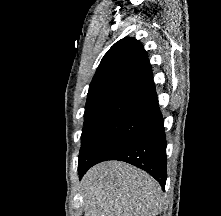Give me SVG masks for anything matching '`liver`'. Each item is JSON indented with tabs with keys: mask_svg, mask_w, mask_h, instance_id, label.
Returning <instances> with one entry per match:
<instances>
[{
	"mask_svg": "<svg viewBox=\"0 0 221 216\" xmlns=\"http://www.w3.org/2000/svg\"><path fill=\"white\" fill-rule=\"evenodd\" d=\"M85 216H156L163 209L159 183L120 161L92 167L81 181Z\"/></svg>",
	"mask_w": 221,
	"mask_h": 216,
	"instance_id": "6515ba94",
	"label": "liver"
}]
</instances>
